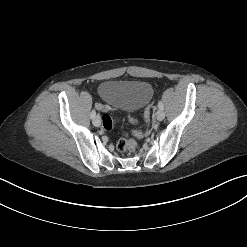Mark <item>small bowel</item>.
I'll list each match as a JSON object with an SVG mask.
<instances>
[{"mask_svg":"<svg viewBox=\"0 0 247 247\" xmlns=\"http://www.w3.org/2000/svg\"><path fill=\"white\" fill-rule=\"evenodd\" d=\"M98 108H99L100 110H102V111L105 110V107H104L103 105H98Z\"/></svg>","mask_w":247,"mask_h":247,"instance_id":"1","label":"small bowel"}]
</instances>
